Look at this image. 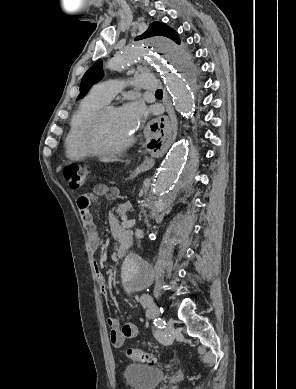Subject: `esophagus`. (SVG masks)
Listing matches in <instances>:
<instances>
[{
	"label": "esophagus",
	"mask_w": 296,
	"mask_h": 389,
	"mask_svg": "<svg viewBox=\"0 0 296 389\" xmlns=\"http://www.w3.org/2000/svg\"><path fill=\"white\" fill-rule=\"evenodd\" d=\"M166 109L167 112H164V117L160 121H155L152 118L148 120L146 126L142 128V137L144 139H162L165 131H169L171 129V124L175 119L174 108L171 104L170 99L166 94ZM151 164L150 160H145L143 164L137 167L138 171L146 170Z\"/></svg>",
	"instance_id": "34e87169"
}]
</instances>
